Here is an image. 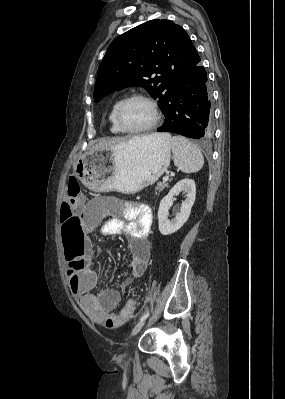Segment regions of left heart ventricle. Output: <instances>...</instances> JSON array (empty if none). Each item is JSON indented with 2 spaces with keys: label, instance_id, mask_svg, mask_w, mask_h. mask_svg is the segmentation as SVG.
I'll return each instance as SVG.
<instances>
[{
  "label": "left heart ventricle",
  "instance_id": "left-heart-ventricle-1",
  "mask_svg": "<svg viewBox=\"0 0 285 399\" xmlns=\"http://www.w3.org/2000/svg\"><path fill=\"white\" fill-rule=\"evenodd\" d=\"M154 117L152 107L143 100L129 102L122 112V120L129 128H139L147 125Z\"/></svg>",
  "mask_w": 285,
  "mask_h": 399
}]
</instances>
